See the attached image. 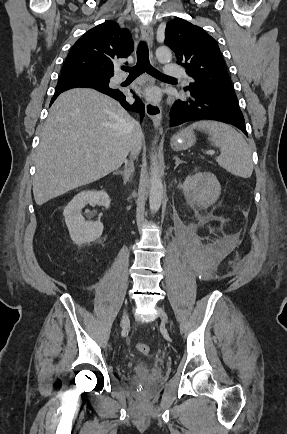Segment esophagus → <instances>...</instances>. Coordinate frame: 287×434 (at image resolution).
Returning <instances> with one entry per match:
<instances>
[{
	"label": "esophagus",
	"instance_id": "34e87169",
	"mask_svg": "<svg viewBox=\"0 0 287 434\" xmlns=\"http://www.w3.org/2000/svg\"><path fill=\"white\" fill-rule=\"evenodd\" d=\"M140 30L143 39L147 41L150 47H152L154 40V33L152 27L148 24H141ZM145 111L147 116L153 121L154 126H159L162 118V108L160 104L156 101H146Z\"/></svg>",
	"mask_w": 287,
	"mask_h": 434
}]
</instances>
